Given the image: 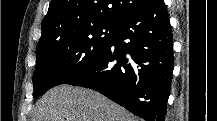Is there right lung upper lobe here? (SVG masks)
I'll use <instances>...</instances> for the list:
<instances>
[{"instance_id":"right-lung-upper-lobe-1","label":"right lung upper lobe","mask_w":217,"mask_h":121,"mask_svg":"<svg viewBox=\"0 0 217 121\" xmlns=\"http://www.w3.org/2000/svg\"><path fill=\"white\" fill-rule=\"evenodd\" d=\"M149 0H51L42 20L37 48L76 29L98 23L119 24Z\"/></svg>"}]
</instances>
